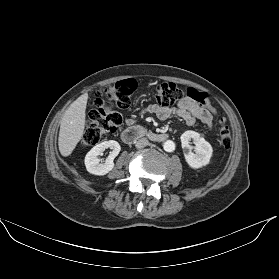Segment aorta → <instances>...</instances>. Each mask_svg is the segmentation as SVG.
<instances>
[{
    "instance_id": "aorta-1",
    "label": "aorta",
    "mask_w": 279,
    "mask_h": 279,
    "mask_svg": "<svg viewBox=\"0 0 279 279\" xmlns=\"http://www.w3.org/2000/svg\"><path fill=\"white\" fill-rule=\"evenodd\" d=\"M163 148L166 152H172L175 149V143L171 140H167L164 142Z\"/></svg>"
}]
</instances>
